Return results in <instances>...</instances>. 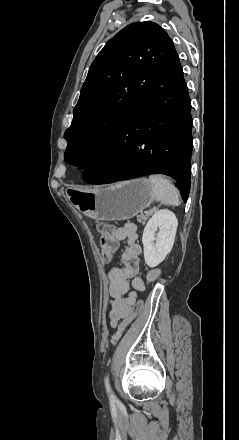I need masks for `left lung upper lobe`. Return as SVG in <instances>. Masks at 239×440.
Masks as SVG:
<instances>
[{"mask_svg": "<svg viewBox=\"0 0 239 440\" xmlns=\"http://www.w3.org/2000/svg\"><path fill=\"white\" fill-rule=\"evenodd\" d=\"M175 51L168 34L153 22L119 31L90 66L71 126L65 161L85 168L129 116Z\"/></svg>", "mask_w": 239, "mask_h": 440, "instance_id": "1", "label": "left lung upper lobe"}]
</instances>
